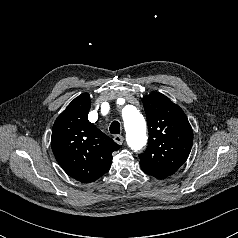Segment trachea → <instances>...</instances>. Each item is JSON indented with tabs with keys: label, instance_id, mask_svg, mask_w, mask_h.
I'll return each mask as SVG.
<instances>
[{
	"label": "trachea",
	"instance_id": "obj_1",
	"mask_svg": "<svg viewBox=\"0 0 238 238\" xmlns=\"http://www.w3.org/2000/svg\"><path fill=\"white\" fill-rule=\"evenodd\" d=\"M110 133L119 134L120 133V124L118 121H113L110 125Z\"/></svg>",
	"mask_w": 238,
	"mask_h": 238
}]
</instances>
